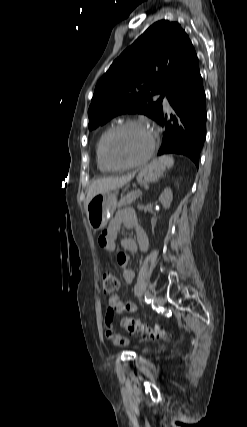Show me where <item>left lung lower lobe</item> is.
Masks as SVG:
<instances>
[{
	"label": "left lung lower lobe",
	"mask_w": 247,
	"mask_h": 427,
	"mask_svg": "<svg viewBox=\"0 0 247 427\" xmlns=\"http://www.w3.org/2000/svg\"><path fill=\"white\" fill-rule=\"evenodd\" d=\"M172 108H165L157 122L165 127L158 155L177 153L188 156L199 166L201 149L206 139V96L199 65L183 81L175 85L166 95Z\"/></svg>",
	"instance_id": "left-lung-lower-lobe-1"
}]
</instances>
